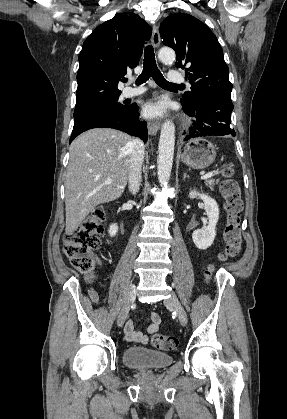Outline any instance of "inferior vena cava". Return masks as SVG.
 I'll list each match as a JSON object with an SVG mask.
<instances>
[{"instance_id": "602c4592", "label": "inferior vena cava", "mask_w": 287, "mask_h": 419, "mask_svg": "<svg viewBox=\"0 0 287 419\" xmlns=\"http://www.w3.org/2000/svg\"><path fill=\"white\" fill-rule=\"evenodd\" d=\"M133 152L130 159L129 171V191L135 195L141 185V167L144 160V143L139 139H133L131 142Z\"/></svg>"}]
</instances>
